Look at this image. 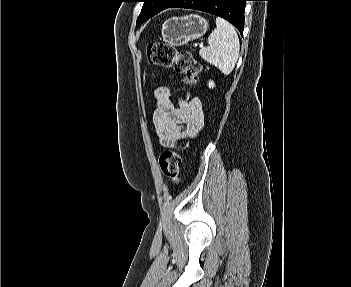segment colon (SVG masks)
<instances>
[{"instance_id": "5ec220e1", "label": "colon", "mask_w": 351, "mask_h": 287, "mask_svg": "<svg viewBox=\"0 0 351 287\" xmlns=\"http://www.w3.org/2000/svg\"><path fill=\"white\" fill-rule=\"evenodd\" d=\"M148 61L156 66L174 67L183 74L184 83L193 86L197 83L200 65L188 51H179L175 47L164 43H151L147 46ZM183 145L164 151L159 158V165L163 174L173 183L179 182L181 166V151Z\"/></svg>"}]
</instances>
